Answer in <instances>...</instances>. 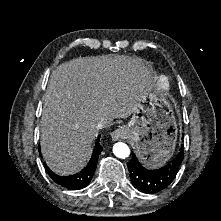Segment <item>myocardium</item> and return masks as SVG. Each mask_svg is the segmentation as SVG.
<instances>
[{"mask_svg": "<svg viewBox=\"0 0 221 221\" xmlns=\"http://www.w3.org/2000/svg\"><path fill=\"white\" fill-rule=\"evenodd\" d=\"M167 89H168V84H167V82L164 80V78H161V79L159 80V90H160L161 92H166Z\"/></svg>", "mask_w": 221, "mask_h": 221, "instance_id": "1", "label": "myocardium"}]
</instances>
